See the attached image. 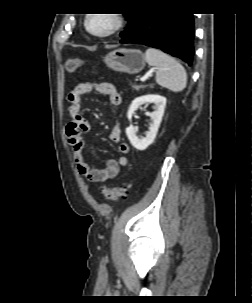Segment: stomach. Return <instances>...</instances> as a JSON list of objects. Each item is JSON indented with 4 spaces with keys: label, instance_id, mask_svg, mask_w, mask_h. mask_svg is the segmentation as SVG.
<instances>
[{
    "label": "stomach",
    "instance_id": "0dacf381",
    "mask_svg": "<svg viewBox=\"0 0 252 303\" xmlns=\"http://www.w3.org/2000/svg\"><path fill=\"white\" fill-rule=\"evenodd\" d=\"M105 64L114 71L136 74L145 67V57L139 50L117 49L106 55Z\"/></svg>",
    "mask_w": 252,
    "mask_h": 303
}]
</instances>
